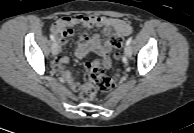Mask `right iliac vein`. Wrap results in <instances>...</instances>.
Here are the masks:
<instances>
[{
  "mask_svg": "<svg viewBox=\"0 0 194 133\" xmlns=\"http://www.w3.org/2000/svg\"><path fill=\"white\" fill-rule=\"evenodd\" d=\"M51 51L53 55H56L59 51V47L58 44L56 42H54L51 46Z\"/></svg>",
  "mask_w": 194,
  "mask_h": 133,
  "instance_id": "right-iliac-vein-1",
  "label": "right iliac vein"
}]
</instances>
